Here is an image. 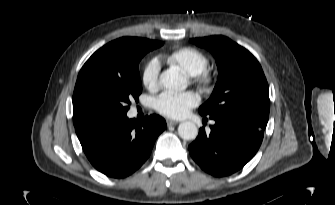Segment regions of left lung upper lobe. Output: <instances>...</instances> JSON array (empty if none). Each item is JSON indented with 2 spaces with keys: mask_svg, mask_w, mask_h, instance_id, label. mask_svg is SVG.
Instances as JSON below:
<instances>
[{
  "mask_svg": "<svg viewBox=\"0 0 335 205\" xmlns=\"http://www.w3.org/2000/svg\"><path fill=\"white\" fill-rule=\"evenodd\" d=\"M215 57L219 76L211 97L200 108L203 116L232 114L267 124L269 88L257 59L224 36L190 39Z\"/></svg>",
  "mask_w": 335,
  "mask_h": 205,
  "instance_id": "obj_1",
  "label": "left lung upper lobe"
}]
</instances>
